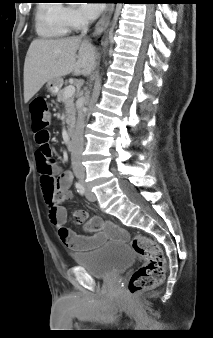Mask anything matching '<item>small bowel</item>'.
Instances as JSON below:
<instances>
[{
    "mask_svg": "<svg viewBox=\"0 0 213 338\" xmlns=\"http://www.w3.org/2000/svg\"><path fill=\"white\" fill-rule=\"evenodd\" d=\"M39 148L44 154H49L53 157L54 153L48 144L39 145ZM54 170L58 173V189L61 193V201H69L73 198V194L69 191L72 174L69 171H64L60 166H54ZM56 222L55 224L62 228L60 235L61 241L72 252H86L92 250L96 244L105 239L122 240L125 238V232L123 229L116 227L111 222H103L100 217H93L88 221V215L84 210H75L73 213L74 219L79 223H85L86 229L91 235H79L71 230L65 229L67 221V212L63 205L56 206ZM93 222L103 224L102 228L92 229L90 225Z\"/></svg>",
    "mask_w": 213,
    "mask_h": 338,
    "instance_id": "c3829d8e",
    "label": "small bowel"
}]
</instances>
